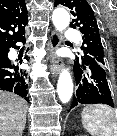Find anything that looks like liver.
I'll return each instance as SVG.
<instances>
[{"label":"liver","instance_id":"obj_1","mask_svg":"<svg viewBox=\"0 0 117 136\" xmlns=\"http://www.w3.org/2000/svg\"><path fill=\"white\" fill-rule=\"evenodd\" d=\"M27 103L16 94L0 91V136H22Z\"/></svg>","mask_w":117,"mask_h":136}]
</instances>
